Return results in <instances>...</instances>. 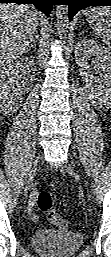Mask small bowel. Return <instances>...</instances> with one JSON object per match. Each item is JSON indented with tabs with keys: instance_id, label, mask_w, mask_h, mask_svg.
<instances>
[{
	"instance_id": "c3829d8e",
	"label": "small bowel",
	"mask_w": 111,
	"mask_h": 257,
	"mask_svg": "<svg viewBox=\"0 0 111 257\" xmlns=\"http://www.w3.org/2000/svg\"><path fill=\"white\" fill-rule=\"evenodd\" d=\"M28 213H29V216L32 220H36L37 219V215L34 213L33 211V205L32 203L29 205V208H28Z\"/></svg>"
}]
</instances>
